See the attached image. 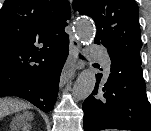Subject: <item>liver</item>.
Returning <instances> with one entry per match:
<instances>
[{
  "label": "liver",
  "mask_w": 151,
  "mask_h": 131,
  "mask_svg": "<svg viewBox=\"0 0 151 131\" xmlns=\"http://www.w3.org/2000/svg\"><path fill=\"white\" fill-rule=\"evenodd\" d=\"M29 106L26 104L13 102L10 100L2 101L0 100V119L4 116L11 114L13 112L19 111L24 108H28Z\"/></svg>",
  "instance_id": "6515ba94"
}]
</instances>
